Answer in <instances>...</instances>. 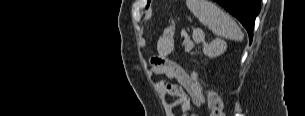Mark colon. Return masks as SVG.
<instances>
[{
    "mask_svg": "<svg viewBox=\"0 0 305 116\" xmlns=\"http://www.w3.org/2000/svg\"><path fill=\"white\" fill-rule=\"evenodd\" d=\"M209 102L210 116H224L223 103L219 95L212 89H206Z\"/></svg>",
    "mask_w": 305,
    "mask_h": 116,
    "instance_id": "1",
    "label": "colon"
}]
</instances>
